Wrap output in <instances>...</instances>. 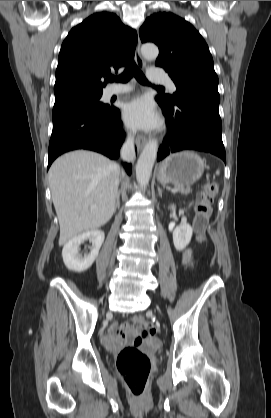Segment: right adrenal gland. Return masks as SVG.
<instances>
[{"mask_svg":"<svg viewBox=\"0 0 271 418\" xmlns=\"http://www.w3.org/2000/svg\"><path fill=\"white\" fill-rule=\"evenodd\" d=\"M116 208H120V192L117 193V197H116Z\"/></svg>","mask_w":271,"mask_h":418,"instance_id":"1","label":"right adrenal gland"}]
</instances>
